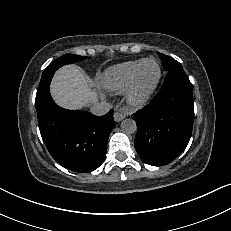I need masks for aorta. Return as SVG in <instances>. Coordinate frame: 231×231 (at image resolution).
Masks as SVG:
<instances>
[{"mask_svg": "<svg viewBox=\"0 0 231 231\" xmlns=\"http://www.w3.org/2000/svg\"><path fill=\"white\" fill-rule=\"evenodd\" d=\"M121 130L126 134H132L137 130L136 122L133 119L127 118L121 122Z\"/></svg>", "mask_w": 231, "mask_h": 231, "instance_id": "762f6f07", "label": "aorta"}]
</instances>
